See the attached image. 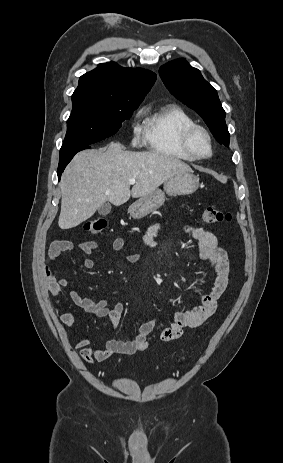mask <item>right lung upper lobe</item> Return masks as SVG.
Returning <instances> with one entry per match:
<instances>
[{"label": "right lung upper lobe", "instance_id": "cb5924a9", "mask_svg": "<svg viewBox=\"0 0 283 463\" xmlns=\"http://www.w3.org/2000/svg\"><path fill=\"white\" fill-rule=\"evenodd\" d=\"M156 80V74L141 68H123L117 63L99 64L79 79L73 95L98 99L142 102Z\"/></svg>", "mask_w": 283, "mask_h": 463}]
</instances>
